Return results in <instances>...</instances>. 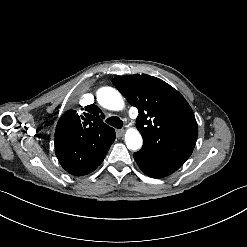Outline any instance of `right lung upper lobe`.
I'll return each instance as SVG.
<instances>
[{
  "mask_svg": "<svg viewBox=\"0 0 247 247\" xmlns=\"http://www.w3.org/2000/svg\"><path fill=\"white\" fill-rule=\"evenodd\" d=\"M103 118L94 104L86 106L83 115L69 110L60 117L55 131V153L64 169L105 158L115 140V130Z\"/></svg>",
  "mask_w": 247,
  "mask_h": 247,
  "instance_id": "right-lung-upper-lobe-1",
  "label": "right lung upper lobe"
}]
</instances>
